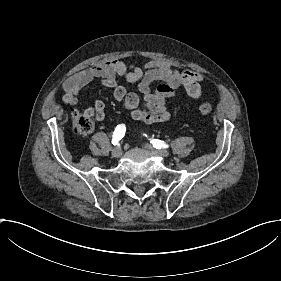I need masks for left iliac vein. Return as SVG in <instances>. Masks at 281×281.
<instances>
[{
    "label": "left iliac vein",
    "instance_id": "left-iliac-vein-1",
    "mask_svg": "<svg viewBox=\"0 0 281 281\" xmlns=\"http://www.w3.org/2000/svg\"><path fill=\"white\" fill-rule=\"evenodd\" d=\"M147 149H149L153 154H157L158 156H167L168 155V152L166 150H161V151L156 150L154 147H151V145H148Z\"/></svg>",
    "mask_w": 281,
    "mask_h": 281
}]
</instances>
